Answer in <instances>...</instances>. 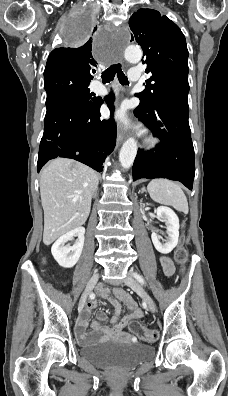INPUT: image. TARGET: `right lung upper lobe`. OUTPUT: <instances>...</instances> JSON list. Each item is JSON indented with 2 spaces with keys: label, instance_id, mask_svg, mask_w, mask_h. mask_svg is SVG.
Returning a JSON list of instances; mask_svg holds the SVG:
<instances>
[{
  "label": "right lung upper lobe",
  "instance_id": "obj_1",
  "mask_svg": "<svg viewBox=\"0 0 228 396\" xmlns=\"http://www.w3.org/2000/svg\"><path fill=\"white\" fill-rule=\"evenodd\" d=\"M96 60L92 56L91 38L80 47L54 49L48 56L44 76L73 74L91 80L92 67H96Z\"/></svg>",
  "mask_w": 228,
  "mask_h": 396
}]
</instances>
